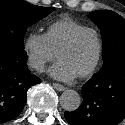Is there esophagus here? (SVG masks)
Masks as SVG:
<instances>
[{"mask_svg": "<svg viewBox=\"0 0 125 125\" xmlns=\"http://www.w3.org/2000/svg\"><path fill=\"white\" fill-rule=\"evenodd\" d=\"M52 85L58 91H64L65 90V87L63 85H61V84L53 83Z\"/></svg>", "mask_w": 125, "mask_h": 125, "instance_id": "esophagus-1", "label": "esophagus"}]
</instances>
